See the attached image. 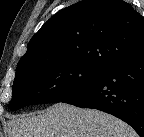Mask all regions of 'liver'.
Masks as SVG:
<instances>
[{"label": "liver", "mask_w": 144, "mask_h": 137, "mask_svg": "<svg viewBox=\"0 0 144 137\" xmlns=\"http://www.w3.org/2000/svg\"><path fill=\"white\" fill-rule=\"evenodd\" d=\"M8 137H138L122 120L96 109L56 103L35 114L11 117Z\"/></svg>", "instance_id": "1"}]
</instances>
